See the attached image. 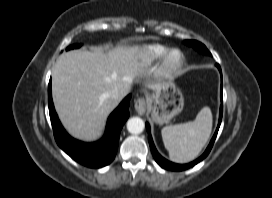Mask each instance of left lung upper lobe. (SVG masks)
Wrapping results in <instances>:
<instances>
[{
  "label": "left lung upper lobe",
  "mask_w": 272,
  "mask_h": 198,
  "mask_svg": "<svg viewBox=\"0 0 272 198\" xmlns=\"http://www.w3.org/2000/svg\"><path fill=\"white\" fill-rule=\"evenodd\" d=\"M185 44L194 47L197 51L206 54L211 55V53L208 51V49L200 42L195 40H186Z\"/></svg>",
  "instance_id": "obj_1"
}]
</instances>
